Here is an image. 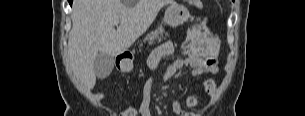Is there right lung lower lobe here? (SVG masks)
Wrapping results in <instances>:
<instances>
[{"label": "right lung lower lobe", "mask_w": 305, "mask_h": 116, "mask_svg": "<svg viewBox=\"0 0 305 116\" xmlns=\"http://www.w3.org/2000/svg\"><path fill=\"white\" fill-rule=\"evenodd\" d=\"M68 1H69L70 5H71L73 0H68Z\"/></svg>", "instance_id": "1"}]
</instances>
